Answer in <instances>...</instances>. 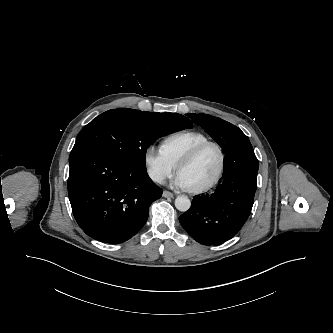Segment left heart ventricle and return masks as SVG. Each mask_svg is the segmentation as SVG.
<instances>
[{"label":"left heart ventricle","instance_id":"b2bd125f","mask_svg":"<svg viewBox=\"0 0 333 333\" xmlns=\"http://www.w3.org/2000/svg\"><path fill=\"white\" fill-rule=\"evenodd\" d=\"M219 166V154L213 147L205 149L192 163L179 173L188 188H198L209 182Z\"/></svg>","mask_w":333,"mask_h":333}]
</instances>
